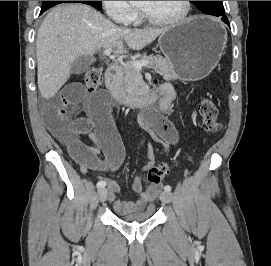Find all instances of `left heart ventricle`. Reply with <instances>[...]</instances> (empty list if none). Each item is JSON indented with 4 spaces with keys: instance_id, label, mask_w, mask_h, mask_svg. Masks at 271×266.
I'll return each mask as SVG.
<instances>
[{
    "instance_id": "1",
    "label": "left heart ventricle",
    "mask_w": 271,
    "mask_h": 266,
    "mask_svg": "<svg viewBox=\"0 0 271 266\" xmlns=\"http://www.w3.org/2000/svg\"><path fill=\"white\" fill-rule=\"evenodd\" d=\"M139 6L158 19L177 17L184 9L183 1H140Z\"/></svg>"
}]
</instances>
